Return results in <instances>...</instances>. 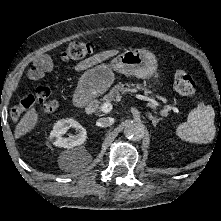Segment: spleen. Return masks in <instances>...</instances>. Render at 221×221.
<instances>
[{"instance_id": "obj_1", "label": "spleen", "mask_w": 221, "mask_h": 221, "mask_svg": "<svg viewBox=\"0 0 221 221\" xmlns=\"http://www.w3.org/2000/svg\"><path fill=\"white\" fill-rule=\"evenodd\" d=\"M214 118L213 107L201 102L189 113L187 122L177 126L175 133L183 141L206 144L213 140L216 133Z\"/></svg>"}]
</instances>
